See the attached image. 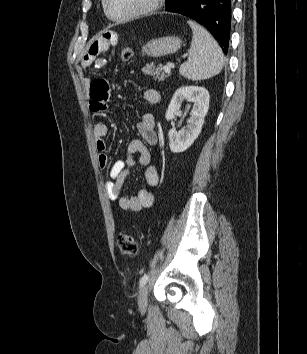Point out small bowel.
I'll list each match as a JSON object with an SVG mask.
<instances>
[{
    "label": "small bowel",
    "mask_w": 307,
    "mask_h": 354,
    "mask_svg": "<svg viewBox=\"0 0 307 354\" xmlns=\"http://www.w3.org/2000/svg\"><path fill=\"white\" fill-rule=\"evenodd\" d=\"M118 35L115 31H106L98 40L94 41L87 49L81 60V68L88 69L93 64L103 66L104 60L98 58L101 51L114 47L117 44ZM86 88L90 94V105L93 111L101 112L106 109L109 95V86L104 79L85 81ZM143 100L147 104H156L160 100V94L155 89H146L143 93ZM108 125L105 122H97L93 128V134L98 151V160L101 168L108 165V156L105 137L108 135ZM138 131L142 140H133L127 148V160H117L110 167V178L105 188L111 200H117L122 210L141 211L154 203V194L149 188L141 189L136 196H127L123 193V185L129 174L130 167L134 164V156L138 154L139 163L145 168L144 177L149 187L158 185L160 176L158 169L150 164V153L146 144H155L158 135L155 129V120L151 113L142 115L138 123Z\"/></svg>",
    "instance_id": "c3829d8e"
}]
</instances>
